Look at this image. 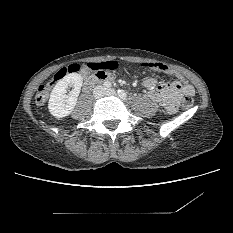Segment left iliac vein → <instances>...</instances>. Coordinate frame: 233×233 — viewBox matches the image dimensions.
Here are the masks:
<instances>
[{"label":"left iliac vein","instance_id":"obj_1","mask_svg":"<svg viewBox=\"0 0 233 233\" xmlns=\"http://www.w3.org/2000/svg\"><path fill=\"white\" fill-rule=\"evenodd\" d=\"M107 94H108V95H116L117 93H116V91H115L114 89H109V90L107 91Z\"/></svg>","mask_w":233,"mask_h":233}]
</instances>
